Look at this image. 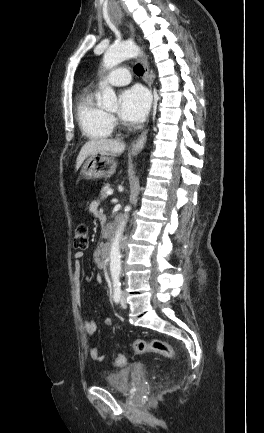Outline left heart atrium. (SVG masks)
Masks as SVG:
<instances>
[{
	"label": "left heart atrium",
	"mask_w": 264,
	"mask_h": 433,
	"mask_svg": "<svg viewBox=\"0 0 264 433\" xmlns=\"http://www.w3.org/2000/svg\"><path fill=\"white\" fill-rule=\"evenodd\" d=\"M149 105L148 92L139 86L131 87L120 95L119 117L129 124L139 123L145 118Z\"/></svg>",
	"instance_id": "left-heart-atrium-1"
}]
</instances>
